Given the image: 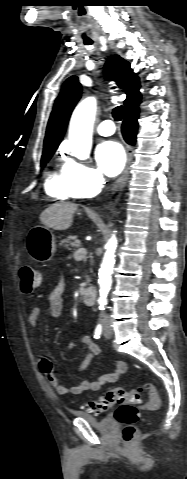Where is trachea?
I'll use <instances>...</instances> for the list:
<instances>
[{
    "mask_svg": "<svg viewBox=\"0 0 187 479\" xmlns=\"http://www.w3.org/2000/svg\"><path fill=\"white\" fill-rule=\"evenodd\" d=\"M93 42L90 41V40H86L84 41V44L85 45H91ZM112 115H113V118L116 120V121H121L122 118H123V115H124V108L123 106H117L113 109V112H112Z\"/></svg>",
    "mask_w": 187,
    "mask_h": 479,
    "instance_id": "trachea-1",
    "label": "trachea"
}]
</instances>
